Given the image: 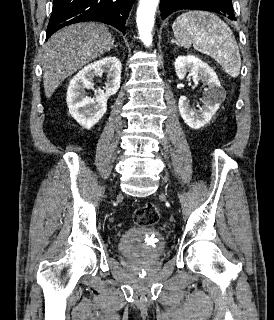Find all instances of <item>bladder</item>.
I'll list each match as a JSON object with an SVG mask.
<instances>
[{
	"label": "bladder",
	"instance_id": "bladder-1",
	"mask_svg": "<svg viewBox=\"0 0 274 320\" xmlns=\"http://www.w3.org/2000/svg\"><path fill=\"white\" fill-rule=\"evenodd\" d=\"M163 233L149 226L133 227L119 237L117 249L127 258L151 259L161 256L165 250Z\"/></svg>",
	"mask_w": 274,
	"mask_h": 320
}]
</instances>
